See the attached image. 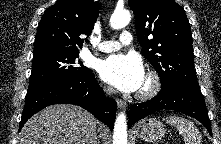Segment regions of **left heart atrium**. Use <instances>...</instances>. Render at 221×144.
<instances>
[{"label": "left heart atrium", "mask_w": 221, "mask_h": 144, "mask_svg": "<svg viewBox=\"0 0 221 144\" xmlns=\"http://www.w3.org/2000/svg\"><path fill=\"white\" fill-rule=\"evenodd\" d=\"M99 72L102 80L123 92L137 91L145 81L141 60L131 54L107 57L101 62Z\"/></svg>", "instance_id": "1"}]
</instances>
